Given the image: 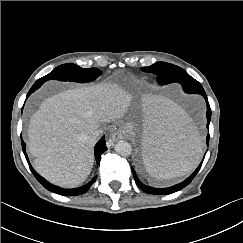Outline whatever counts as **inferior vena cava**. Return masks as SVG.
<instances>
[{"mask_svg":"<svg viewBox=\"0 0 243 243\" xmlns=\"http://www.w3.org/2000/svg\"><path fill=\"white\" fill-rule=\"evenodd\" d=\"M102 132H103V131H102L101 129H98V130H96V131L93 133V135H94L95 137H98Z\"/></svg>","mask_w":243,"mask_h":243,"instance_id":"inferior-vena-cava-1","label":"inferior vena cava"}]
</instances>
